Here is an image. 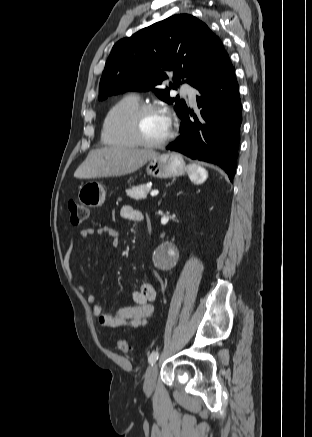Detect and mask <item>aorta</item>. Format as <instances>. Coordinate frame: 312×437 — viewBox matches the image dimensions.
I'll list each match as a JSON object with an SVG mask.
<instances>
[{"instance_id": "aorta-1", "label": "aorta", "mask_w": 312, "mask_h": 437, "mask_svg": "<svg viewBox=\"0 0 312 437\" xmlns=\"http://www.w3.org/2000/svg\"><path fill=\"white\" fill-rule=\"evenodd\" d=\"M174 249L170 246H165L161 248L155 255V261L158 265L162 264L167 259L174 256Z\"/></svg>"}]
</instances>
